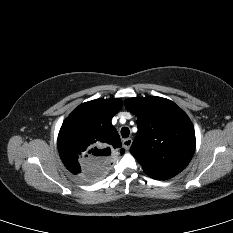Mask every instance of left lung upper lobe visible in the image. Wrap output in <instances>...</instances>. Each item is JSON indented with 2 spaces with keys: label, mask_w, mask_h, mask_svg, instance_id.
<instances>
[{
  "label": "left lung upper lobe",
  "mask_w": 233,
  "mask_h": 233,
  "mask_svg": "<svg viewBox=\"0 0 233 233\" xmlns=\"http://www.w3.org/2000/svg\"><path fill=\"white\" fill-rule=\"evenodd\" d=\"M137 117L138 131L131 154L150 177L175 176L190 162L195 151L194 127L174 102L150 96L125 101Z\"/></svg>",
  "instance_id": "left-lung-upper-lobe-1"
}]
</instances>
